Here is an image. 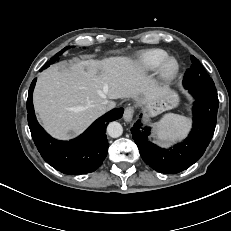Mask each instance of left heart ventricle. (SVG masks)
Returning a JSON list of instances; mask_svg holds the SVG:
<instances>
[{
  "instance_id": "left-heart-ventricle-1",
  "label": "left heart ventricle",
  "mask_w": 231,
  "mask_h": 231,
  "mask_svg": "<svg viewBox=\"0 0 231 231\" xmlns=\"http://www.w3.org/2000/svg\"><path fill=\"white\" fill-rule=\"evenodd\" d=\"M169 68H170V69L173 68V64H171V65L169 66Z\"/></svg>"
}]
</instances>
